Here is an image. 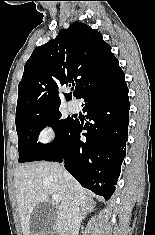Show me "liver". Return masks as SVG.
I'll use <instances>...</instances> for the list:
<instances>
[{
  "label": "liver",
  "mask_w": 155,
  "mask_h": 235,
  "mask_svg": "<svg viewBox=\"0 0 155 235\" xmlns=\"http://www.w3.org/2000/svg\"><path fill=\"white\" fill-rule=\"evenodd\" d=\"M14 180L23 235H30L31 214L37 205L49 200V195H59L57 215L62 221H67L71 191L78 206L88 201L86 190L71 175L65 176L63 168L57 163L43 161L17 166Z\"/></svg>",
  "instance_id": "liver-1"
}]
</instances>
